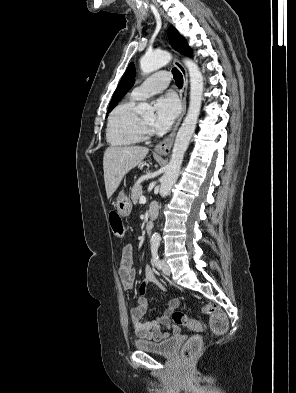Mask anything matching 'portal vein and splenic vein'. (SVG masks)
Returning a JSON list of instances; mask_svg holds the SVG:
<instances>
[{
  "mask_svg": "<svg viewBox=\"0 0 296 393\" xmlns=\"http://www.w3.org/2000/svg\"><path fill=\"white\" fill-rule=\"evenodd\" d=\"M140 201H141V202H145V201H146L145 197H144V196H141V197H140Z\"/></svg>",
  "mask_w": 296,
  "mask_h": 393,
  "instance_id": "portal-vein-and-splenic-vein-1",
  "label": "portal vein and splenic vein"
}]
</instances>
